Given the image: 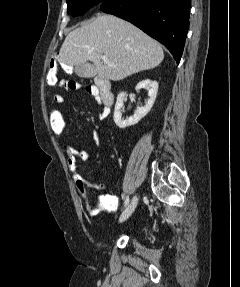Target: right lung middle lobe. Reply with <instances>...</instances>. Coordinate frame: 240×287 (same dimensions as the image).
Here are the masks:
<instances>
[{
	"label": "right lung middle lobe",
	"mask_w": 240,
	"mask_h": 287,
	"mask_svg": "<svg viewBox=\"0 0 240 287\" xmlns=\"http://www.w3.org/2000/svg\"><path fill=\"white\" fill-rule=\"evenodd\" d=\"M105 0H67L68 14L79 16L84 14L91 7L101 5Z\"/></svg>",
	"instance_id": "obj_1"
}]
</instances>
